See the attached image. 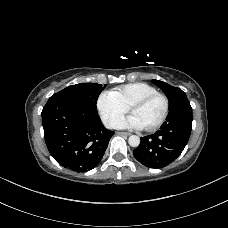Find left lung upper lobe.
I'll list each match as a JSON object with an SVG mask.
<instances>
[{
	"label": "left lung upper lobe",
	"mask_w": 228,
	"mask_h": 228,
	"mask_svg": "<svg viewBox=\"0 0 228 228\" xmlns=\"http://www.w3.org/2000/svg\"><path fill=\"white\" fill-rule=\"evenodd\" d=\"M153 83L162 89V91L168 97L169 110H178L181 106V103L188 100L186 94L180 88L173 87L159 80H153Z\"/></svg>",
	"instance_id": "left-lung-upper-lobe-1"
}]
</instances>
